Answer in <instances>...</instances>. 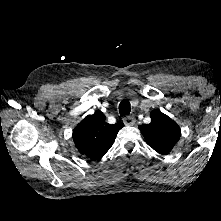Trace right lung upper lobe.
<instances>
[{
  "mask_svg": "<svg viewBox=\"0 0 221 221\" xmlns=\"http://www.w3.org/2000/svg\"><path fill=\"white\" fill-rule=\"evenodd\" d=\"M105 115L96 112L86 116L73 130V140L79 152L89 158L100 159L112 146L122 122L110 125Z\"/></svg>",
  "mask_w": 221,
  "mask_h": 221,
  "instance_id": "1",
  "label": "right lung upper lobe"
}]
</instances>
